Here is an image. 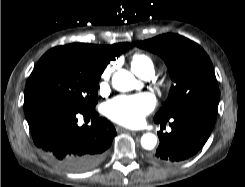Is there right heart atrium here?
I'll use <instances>...</instances> for the list:
<instances>
[{
    "label": "right heart atrium",
    "mask_w": 245,
    "mask_h": 187,
    "mask_svg": "<svg viewBox=\"0 0 245 187\" xmlns=\"http://www.w3.org/2000/svg\"><path fill=\"white\" fill-rule=\"evenodd\" d=\"M112 72V67H108L104 72V79L99 84V92L100 93H106L109 89V84L107 78H109L110 74Z\"/></svg>",
    "instance_id": "obj_1"
}]
</instances>
